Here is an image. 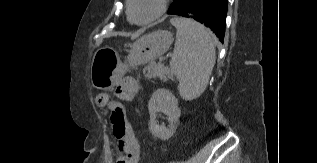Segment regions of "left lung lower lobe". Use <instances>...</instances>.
I'll list each match as a JSON object with an SVG mask.
<instances>
[{"label":"left lung lower lobe","instance_id":"1","mask_svg":"<svg viewBox=\"0 0 317 163\" xmlns=\"http://www.w3.org/2000/svg\"><path fill=\"white\" fill-rule=\"evenodd\" d=\"M228 0H180L168 14L195 19L211 28L223 43Z\"/></svg>","mask_w":317,"mask_h":163}]
</instances>
